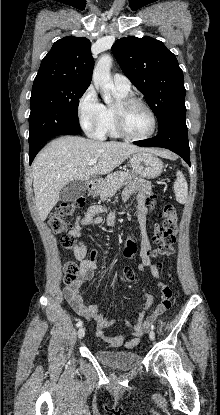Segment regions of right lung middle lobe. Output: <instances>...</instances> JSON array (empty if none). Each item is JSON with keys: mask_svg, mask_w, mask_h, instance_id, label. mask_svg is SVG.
<instances>
[{"mask_svg": "<svg viewBox=\"0 0 220 415\" xmlns=\"http://www.w3.org/2000/svg\"><path fill=\"white\" fill-rule=\"evenodd\" d=\"M88 86L66 82L33 83L30 98L29 151L58 135L80 130L78 104Z\"/></svg>", "mask_w": 220, "mask_h": 415, "instance_id": "dd1d6c3e", "label": "right lung middle lobe"}]
</instances>
